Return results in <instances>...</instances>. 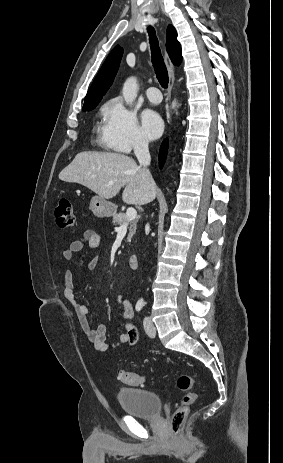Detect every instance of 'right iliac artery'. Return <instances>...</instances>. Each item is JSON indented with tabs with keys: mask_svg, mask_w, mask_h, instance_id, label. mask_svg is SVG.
I'll use <instances>...</instances> for the list:
<instances>
[{
	"mask_svg": "<svg viewBox=\"0 0 283 463\" xmlns=\"http://www.w3.org/2000/svg\"><path fill=\"white\" fill-rule=\"evenodd\" d=\"M144 306V301L142 299L138 300L135 306L136 311H141Z\"/></svg>",
	"mask_w": 283,
	"mask_h": 463,
	"instance_id": "82829eb1",
	"label": "right iliac artery"
}]
</instances>
